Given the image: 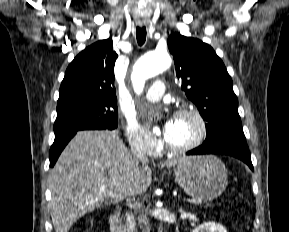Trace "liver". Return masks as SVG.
Here are the masks:
<instances>
[{
	"label": "liver",
	"mask_w": 289,
	"mask_h": 232,
	"mask_svg": "<svg viewBox=\"0 0 289 232\" xmlns=\"http://www.w3.org/2000/svg\"><path fill=\"white\" fill-rule=\"evenodd\" d=\"M178 163L171 159L160 166ZM151 181L148 164L134 162L115 132H78L51 170L49 207L55 232H68L86 213L146 192Z\"/></svg>",
	"instance_id": "obj_1"
}]
</instances>
